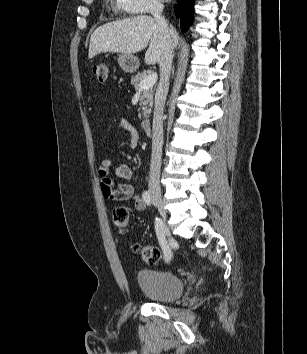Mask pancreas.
Instances as JSON below:
<instances>
[{"mask_svg": "<svg viewBox=\"0 0 307 354\" xmlns=\"http://www.w3.org/2000/svg\"><path fill=\"white\" fill-rule=\"evenodd\" d=\"M147 77V72L143 71L141 73H137L131 79V84L135 87L136 90L139 89L140 82ZM140 96V104L138 109V118L141 119L142 117L146 118L151 113V107L153 105V88H149L146 90H141Z\"/></svg>", "mask_w": 307, "mask_h": 354, "instance_id": "cf45deb5", "label": "pancreas"}]
</instances>
